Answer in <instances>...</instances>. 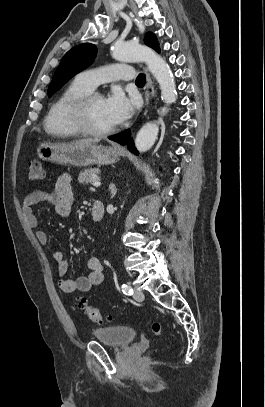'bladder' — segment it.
I'll return each mask as SVG.
<instances>
[{
	"label": "bladder",
	"instance_id": "1",
	"mask_svg": "<svg viewBox=\"0 0 265 407\" xmlns=\"http://www.w3.org/2000/svg\"><path fill=\"white\" fill-rule=\"evenodd\" d=\"M92 336L108 346L123 348L132 344L137 339L138 333L127 326H107L92 330Z\"/></svg>",
	"mask_w": 265,
	"mask_h": 407
}]
</instances>
